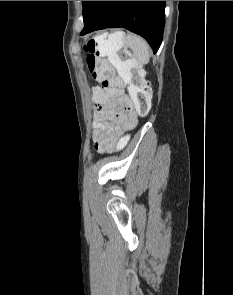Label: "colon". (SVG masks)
Returning a JSON list of instances; mask_svg holds the SVG:
<instances>
[{
  "label": "colon",
  "instance_id": "obj_1",
  "mask_svg": "<svg viewBox=\"0 0 233 295\" xmlns=\"http://www.w3.org/2000/svg\"><path fill=\"white\" fill-rule=\"evenodd\" d=\"M84 50L90 73L100 83L93 88L94 95H119L127 84L137 113L145 116L151 107V87L140 63L128 50L124 34L111 32L96 35L85 41ZM127 140V137L120 136L115 148L124 147Z\"/></svg>",
  "mask_w": 233,
  "mask_h": 295
}]
</instances>
